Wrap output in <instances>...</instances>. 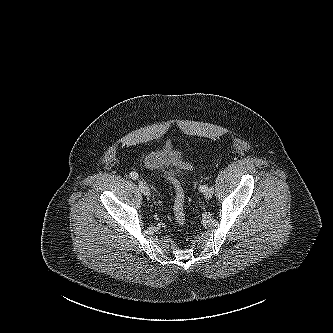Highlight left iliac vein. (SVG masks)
Returning <instances> with one entry per match:
<instances>
[{"instance_id": "obj_1", "label": "left iliac vein", "mask_w": 333, "mask_h": 333, "mask_svg": "<svg viewBox=\"0 0 333 333\" xmlns=\"http://www.w3.org/2000/svg\"><path fill=\"white\" fill-rule=\"evenodd\" d=\"M214 190L213 188H208L205 192H204V196L206 199H211L213 196Z\"/></svg>"}]
</instances>
